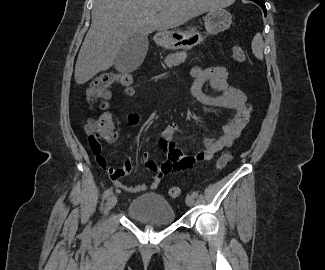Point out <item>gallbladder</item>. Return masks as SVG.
Returning <instances> with one entry per match:
<instances>
[{
    "instance_id": "bac80fb5",
    "label": "gallbladder",
    "mask_w": 325,
    "mask_h": 270,
    "mask_svg": "<svg viewBox=\"0 0 325 270\" xmlns=\"http://www.w3.org/2000/svg\"><path fill=\"white\" fill-rule=\"evenodd\" d=\"M148 50V38L133 34L120 47L114 66L119 72H132L143 62Z\"/></svg>"
}]
</instances>
